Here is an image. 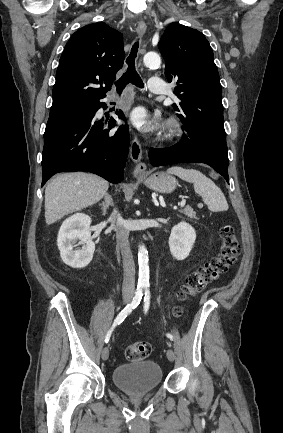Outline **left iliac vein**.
<instances>
[{
	"mask_svg": "<svg viewBox=\"0 0 283 433\" xmlns=\"http://www.w3.org/2000/svg\"><path fill=\"white\" fill-rule=\"evenodd\" d=\"M167 358L169 361L173 362L175 359V353L172 349L167 350Z\"/></svg>",
	"mask_w": 283,
	"mask_h": 433,
	"instance_id": "left-iliac-vein-1",
	"label": "left iliac vein"
}]
</instances>
